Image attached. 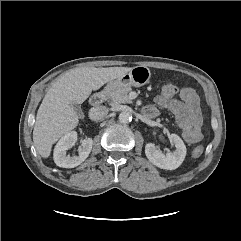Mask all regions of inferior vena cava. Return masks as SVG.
Instances as JSON below:
<instances>
[{"mask_svg": "<svg viewBox=\"0 0 241 241\" xmlns=\"http://www.w3.org/2000/svg\"><path fill=\"white\" fill-rule=\"evenodd\" d=\"M108 108L105 106H97L91 108L89 112V117L93 121H99L104 119L108 115Z\"/></svg>", "mask_w": 241, "mask_h": 241, "instance_id": "1", "label": "inferior vena cava"}]
</instances>
